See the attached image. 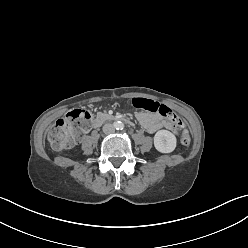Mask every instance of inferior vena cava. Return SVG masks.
Returning <instances> with one entry per match:
<instances>
[{"label": "inferior vena cava", "instance_id": "602c4592", "mask_svg": "<svg viewBox=\"0 0 248 248\" xmlns=\"http://www.w3.org/2000/svg\"><path fill=\"white\" fill-rule=\"evenodd\" d=\"M114 131H115V127L112 124L107 123L103 126V132L105 134H112L114 133Z\"/></svg>", "mask_w": 248, "mask_h": 248}]
</instances>
